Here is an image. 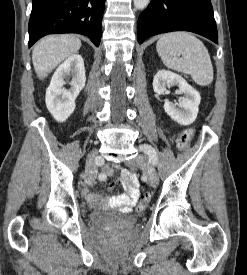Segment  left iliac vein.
Listing matches in <instances>:
<instances>
[{
    "mask_svg": "<svg viewBox=\"0 0 247 275\" xmlns=\"http://www.w3.org/2000/svg\"><path fill=\"white\" fill-rule=\"evenodd\" d=\"M130 167H140L147 174L148 181L152 187H156L159 181L156 170L148 164L147 159L144 155H137L126 163Z\"/></svg>",
    "mask_w": 247,
    "mask_h": 275,
    "instance_id": "obj_1",
    "label": "left iliac vein"
}]
</instances>
